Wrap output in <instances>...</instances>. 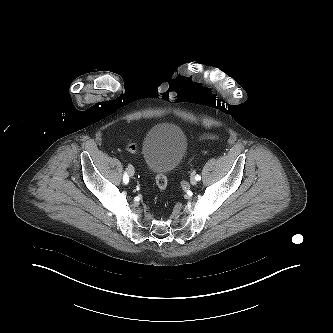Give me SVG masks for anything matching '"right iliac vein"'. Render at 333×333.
Here are the masks:
<instances>
[{
  "label": "right iliac vein",
  "mask_w": 333,
  "mask_h": 333,
  "mask_svg": "<svg viewBox=\"0 0 333 333\" xmlns=\"http://www.w3.org/2000/svg\"><path fill=\"white\" fill-rule=\"evenodd\" d=\"M128 173H129L130 177L134 176V168L131 165L128 167Z\"/></svg>",
  "instance_id": "1"
}]
</instances>
